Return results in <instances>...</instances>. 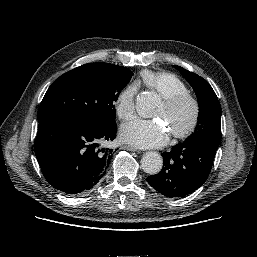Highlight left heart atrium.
<instances>
[{"mask_svg": "<svg viewBox=\"0 0 257 257\" xmlns=\"http://www.w3.org/2000/svg\"><path fill=\"white\" fill-rule=\"evenodd\" d=\"M123 141L139 147H159L167 143L169 134L158 121L134 119L121 127Z\"/></svg>", "mask_w": 257, "mask_h": 257, "instance_id": "obj_1", "label": "left heart atrium"}]
</instances>
